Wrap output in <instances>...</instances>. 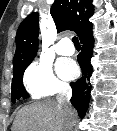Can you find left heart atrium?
Returning a JSON list of instances; mask_svg holds the SVG:
<instances>
[{"label":"left heart atrium","instance_id":"left-heart-atrium-1","mask_svg":"<svg viewBox=\"0 0 117 131\" xmlns=\"http://www.w3.org/2000/svg\"><path fill=\"white\" fill-rule=\"evenodd\" d=\"M57 71L62 78L73 79L78 74V67L71 60H61L57 64Z\"/></svg>","mask_w":117,"mask_h":131}]
</instances>
